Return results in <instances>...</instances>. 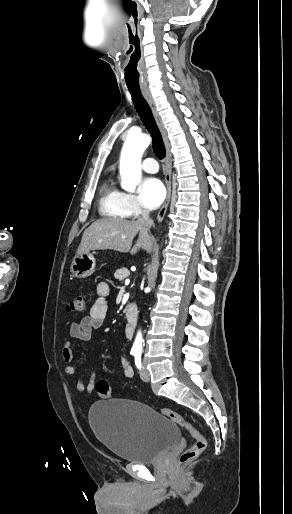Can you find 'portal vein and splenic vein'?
<instances>
[{
	"label": "portal vein and splenic vein",
	"mask_w": 292,
	"mask_h": 514,
	"mask_svg": "<svg viewBox=\"0 0 292 514\" xmlns=\"http://www.w3.org/2000/svg\"><path fill=\"white\" fill-rule=\"evenodd\" d=\"M130 280H125V286H128Z\"/></svg>",
	"instance_id": "18ae733b"
}]
</instances>
